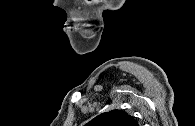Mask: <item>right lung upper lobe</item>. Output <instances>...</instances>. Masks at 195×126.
Returning <instances> with one entry per match:
<instances>
[{"label":"right lung upper lobe","mask_w":195,"mask_h":126,"mask_svg":"<svg viewBox=\"0 0 195 126\" xmlns=\"http://www.w3.org/2000/svg\"><path fill=\"white\" fill-rule=\"evenodd\" d=\"M85 126H139L137 121L122 110H112L98 115Z\"/></svg>","instance_id":"obj_1"}]
</instances>
